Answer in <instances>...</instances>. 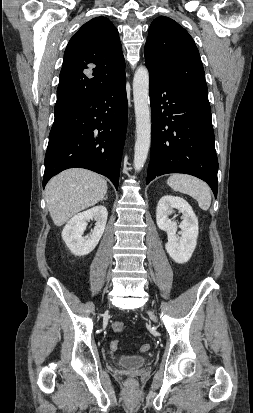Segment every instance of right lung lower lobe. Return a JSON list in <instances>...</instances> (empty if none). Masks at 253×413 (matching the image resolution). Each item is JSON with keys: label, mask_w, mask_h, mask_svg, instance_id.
<instances>
[{"label": "right lung lower lobe", "mask_w": 253, "mask_h": 413, "mask_svg": "<svg viewBox=\"0 0 253 413\" xmlns=\"http://www.w3.org/2000/svg\"><path fill=\"white\" fill-rule=\"evenodd\" d=\"M125 75L97 95L55 112L45 155L43 187L59 172L80 167L118 188L127 129Z\"/></svg>", "instance_id": "right-lung-lower-lobe-1"}]
</instances>
